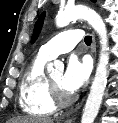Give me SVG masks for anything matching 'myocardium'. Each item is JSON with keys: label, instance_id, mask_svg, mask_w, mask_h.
Listing matches in <instances>:
<instances>
[{"label": "myocardium", "instance_id": "myocardium-1", "mask_svg": "<svg viewBox=\"0 0 118 123\" xmlns=\"http://www.w3.org/2000/svg\"><path fill=\"white\" fill-rule=\"evenodd\" d=\"M51 100L58 107H66L74 102L75 95L63 94L58 87L52 82L51 78L47 79Z\"/></svg>", "mask_w": 118, "mask_h": 123}]
</instances>
